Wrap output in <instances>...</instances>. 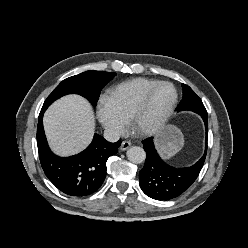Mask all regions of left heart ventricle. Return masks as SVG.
Returning <instances> with one entry per match:
<instances>
[{
  "label": "left heart ventricle",
  "mask_w": 248,
  "mask_h": 248,
  "mask_svg": "<svg viewBox=\"0 0 248 248\" xmlns=\"http://www.w3.org/2000/svg\"><path fill=\"white\" fill-rule=\"evenodd\" d=\"M173 97L174 92L171 87H159L154 93L150 104L141 119V123L143 125H148L155 121L168 108Z\"/></svg>",
  "instance_id": "1"
}]
</instances>
